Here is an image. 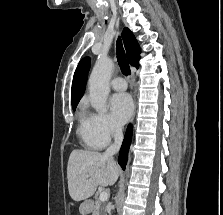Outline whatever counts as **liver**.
Here are the masks:
<instances>
[{"instance_id": "1", "label": "liver", "mask_w": 223, "mask_h": 215, "mask_svg": "<svg viewBox=\"0 0 223 215\" xmlns=\"http://www.w3.org/2000/svg\"><path fill=\"white\" fill-rule=\"evenodd\" d=\"M119 175V165L112 157L99 151L73 149L67 165L68 189L72 199L80 201L93 195L97 185H113Z\"/></svg>"}]
</instances>
